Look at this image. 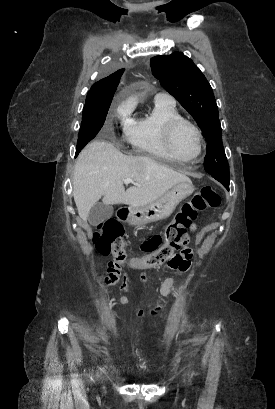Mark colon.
Here are the masks:
<instances>
[{
	"mask_svg": "<svg viewBox=\"0 0 275 409\" xmlns=\"http://www.w3.org/2000/svg\"><path fill=\"white\" fill-rule=\"evenodd\" d=\"M221 204L218 193L209 186L200 189L189 201H186L175 214L162 233L152 235L142 243V250L148 252L146 256L126 257L123 260L125 247L122 240L123 226L114 219L100 223L93 235V243L105 254L113 253L117 261H109L108 275H115L123 261L126 264H135L136 269L156 270L164 266L165 262L175 255V250L185 244L186 236L192 221L198 212L209 208H217Z\"/></svg>",
	"mask_w": 275,
	"mask_h": 409,
	"instance_id": "colon-1",
	"label": "colon"
}]
</instances>
